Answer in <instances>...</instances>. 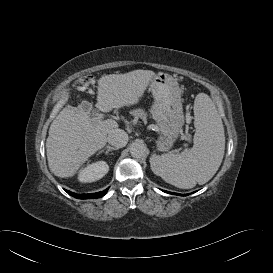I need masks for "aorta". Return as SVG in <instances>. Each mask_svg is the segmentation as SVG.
<instances>
[{
  "mask_svg": "<svg viewBox=\"0 0 273 273\" xmlns=\"http://www.w3.org/2000/svg\"><path fill=\"white\" fill-rule=\"evenodd\" d=\"M147 147L141 142H134L130 146V154L134 158H143L146 156Z\"/></svg>",
  "mask_w": 273,
  "mask_h": 273,
  "instance_id": "aorta-1",
  "label": "aorta"
}]
</instances>
